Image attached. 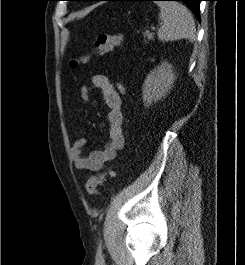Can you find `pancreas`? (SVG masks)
Listing matches in <instances>:
<instances>
[{"mask_svg": "<svg viewBox=\"0 0 245 265\" xmlns=\"http://www.w3.org/2000/svg\"><path fill=\"white\" fill-rule=\"evenodd\" d=\"M145 37H147L148 40H152V39H153V34H151V33H146V34H145ZM145 42H146V40H145Z\"/></svg>", "mask_w": 245, "mask_h": 265, "instance_id": "1", "label": "pancreas"}]
</instances>
